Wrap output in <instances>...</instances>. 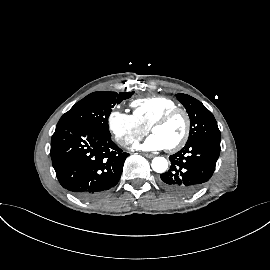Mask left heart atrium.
Here are the masks:
<instances>
[{
  "label": "left heart atrium",
  "mask_w": 270,
  "mask_h": 270,
  "mask_svg": "<svg viewBox=\"0 0 270 270\" xmlns=\"http://www.w3.org/2000/svg\"><path fill=\"white\" fill-rule=\"evenodd\" d=\"M134 148L143 151H159L166 149L167 147L159 136L152 133L144 141L137 142Z\"/></svg>",
  "instance_id": "39dd6f15"
}]
</instances>
